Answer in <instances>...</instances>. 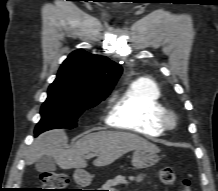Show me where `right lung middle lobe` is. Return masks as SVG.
I'll list each match as a JSON object with an SVG mask.
<instances>
[{
	"mask_svg": "<svg viewBox=\"0 0 218 191\" xmlns=\"http://www.w3.org/2000/svg\"><path fill=\"white\" fill-rule=\"evenodd\" d=\"M105 95H85L69 90L54 81L48 89V97L41 107V119L35 135L54 129L76 127L78 117L87 109L104 100Z\"/></svg>",
	"mask_w": 218,
	"mask_h": 191,
	"instance_id": "right-lung-middle-lobe-1",
	"label": "right lung middle lobe"
}]
</instances>
